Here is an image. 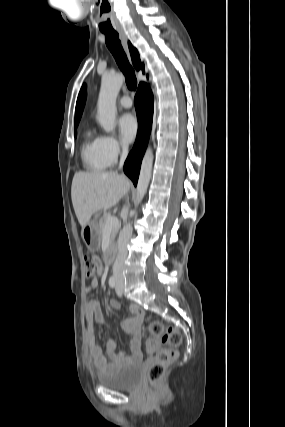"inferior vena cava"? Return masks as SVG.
I'll use <instances>...</instances> for the list:
<instances>
[{
	"instance_id": "inferior-vena-cava-1",
	"label": "inferior vena cava",
	"mask_w": 285,
	"mask_h": 427,
	"mask_svg": "<svg viewBox=\"0 0 285 427\" xmlns=\"http://www.w3.org/2000/svg\"><path fill=\"white\" fill-rule=\"evenodd\" d=\"M128 155V147L127 146H123L122 147V154L120 156V164H119V169H121L123 167V164L125 162V159ZM127 209L124 207L122 212H125ZM132 226L129 223H126V225L123 227V229L121 230L120 234H119V239H118V254L116 257V260L114 262L113 265V273L115 275H121L123 268H124V263L127 257V244L129 239L132 236Z\"/></svg>"
}]
</instances>
